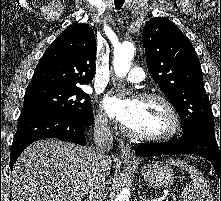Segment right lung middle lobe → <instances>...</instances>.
<instances>
[{
    "instance_id": "right-lung-middle-lobe-1",
    "label": "right lung middle lobe",
    "mask_w": 221,
    "mask_h": 201,
    "mask_svg": "<svg viewBox=\"0 0 221 201\" xmlns=\"http://www.w3.org/2000/svg\"><path fill=\"white\" fill-rule=\"evenodd\" d=\"M46 111L70 115L87 123L92 122L91 99L81 88L52 86L26 89L21 113Z\"/></svg>"
}]
</instances>
